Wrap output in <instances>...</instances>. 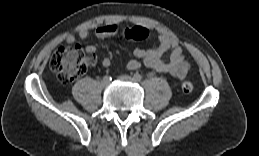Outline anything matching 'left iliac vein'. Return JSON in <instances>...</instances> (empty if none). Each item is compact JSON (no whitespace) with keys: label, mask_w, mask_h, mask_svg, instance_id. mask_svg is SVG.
I'll use <instances>...</instances> for the list:
<instances>
[{"label":"left iliac vein","mask_w":259,"mask_h":156,"mask_svg":"<svg viewBox=\"0 0 259 156\" xmlns=\"http://www.w3.org/2000/svg\"><path fill=\"white\" fill-rule=\"evenodd\" d=\"M120 79L123 80V81L135 82V80L128 75H122V76H120Z\"/></svg>","instance_id":"left-iliac-vein-1"}]
</instances>
